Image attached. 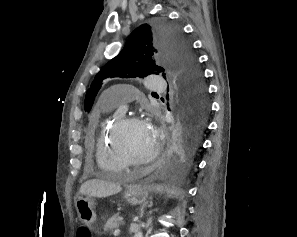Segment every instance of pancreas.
<instances>
[{"label":"pancreas","instance_id":"1","mask_svg":"<svg viewBox=\"0 0 297 237\" xmlns=\"http://www.w3.org/2000/svg\"><path fill=\"white\" fill-rule=\"evenodd\" d=\"M120 216L119 214H115L111 218H109L104 225V231L105 232H112L115 228H117L120 225Z\"/></svg>","mask_w":297,"mask_h":237}]
</instances>
